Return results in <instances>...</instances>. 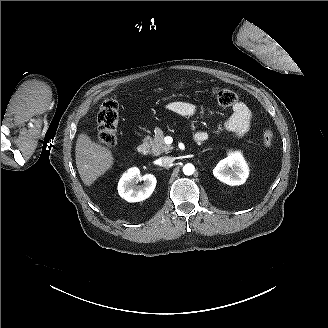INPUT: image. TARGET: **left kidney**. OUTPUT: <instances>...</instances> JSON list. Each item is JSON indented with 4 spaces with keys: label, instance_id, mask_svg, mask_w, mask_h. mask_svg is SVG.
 Listing matches in <instances>:
<instances>
[{
    "label": "left kidney",
    "instance_id": "obj_1",
    "mask_svg": "<svg viewBox=\"0 0 328 328\" xmlns=\"http://www.w3.org/2000/svg\"><path fill=\"white\" fill-rule=\"evenodd\" d=\"M213 174L221 182L234 186L245 183L249 170L243 157L236 153L220 161L213 170Z\"/></svg>",
    "mask_w": 328,
    "mask_h": 328
}]
</instances>
